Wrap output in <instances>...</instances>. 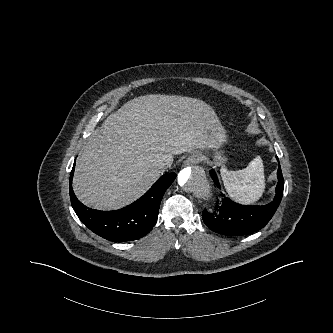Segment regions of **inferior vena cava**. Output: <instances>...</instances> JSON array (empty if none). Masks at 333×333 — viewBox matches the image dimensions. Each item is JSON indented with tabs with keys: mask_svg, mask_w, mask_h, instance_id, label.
Segmentation results:
<instances>
[{
	"mask_svg": "<svg viewBox=\"0 0 333 333\" xmlns=\"http://www.w3.org/2000/svg\"><path fill=\"white\" fill-rule=\"evenodd\" d=\"M157 167H158L159 170L164 171L165 169L170 167V164L165 162V161H160V162L157 163Z\"/></svg>",
	"mask_w": 333,
	"mask_h": 333,
	"instance_id": "1",
	"label": "inferior vena cava"
}]
</instances>
